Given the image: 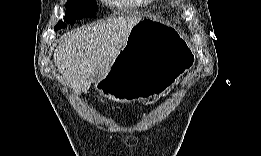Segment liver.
Wrapping results in <instances>:
<instances>
[{
	"instance_id": "liver-1",
	"label": "liver",
	"mask_w": 261,
	"mask_h": 156,
	"mask_svg": "<svg viewBox=\"0 0 261 156\" xmlns=\"http://www.w3.org/2000/svg\"><path fill=\"white\" fill-rule=\"evenodd\" d=\"M140 20L137 16L115 17L71 30L59 39L54 63L75 93L86 92L107 76Z\"/></svg>"
}]
</instances>
